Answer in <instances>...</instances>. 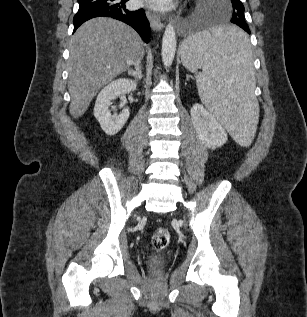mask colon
<instances>
[{"label": "colon", "mask_w": 307, "mask_h": 317, "mask_svg": "<svg viewBox=\"0 0 307 317\" xmlns=\"http://www.w3.org/2000/svg\"><path fill=\"white\" fill-rule=\"evenodd\" d=\"M170 239V232L165 228H159L152 236V246L156 250H163L169 245Z\"/></svg>", "instance_id": "obj_1"}]
</instances>
